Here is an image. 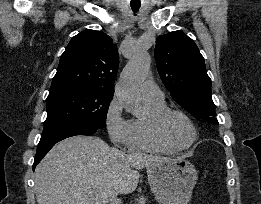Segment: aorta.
Masks as SVG:
<instances>
[{"instance_id": "aorta-1", "label": "aorta", "mask_w": 261, "mask_h": 204, "mask_svg": "<svg viewBox=\"0 0 261 204\" xmlns=\"http://www.w3.org/2000/svg\"><path fill=\"white\" fill-rule=\"evenodd\" d=\"M150 63L147 51L135 52L123 69L116 87V95L125 109L137 117L142 113L141 83L149 72Z\"/></svg>"}]
</instances>
